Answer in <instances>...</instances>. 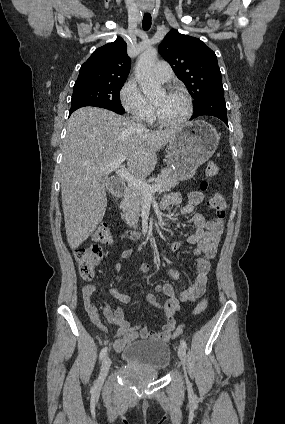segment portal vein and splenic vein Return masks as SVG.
Here are the masks:
<instances>
[{
  "label": "portal vein and splenic vein",
  "mask_w": 285,
  "mask_h": 424,
  "mask_svg": "<svg viewBox=\"0 0 285 424\" xmlns=\"http://www.w3.org/2000/svg\"><path fill=\"white\" fill-rule=\"evenodd\" d=\"M126 157L123 156L118 160H115L105 167L101 168L100 171L111 172L114 171L115 174L121 179L125 180L129 186H132L136 189H139L146 197L151 198L152 194L160 190V185H149L147 182L139 179L129 171L124 168H120V165L125 161Z\"/></svg>",
  "instance_id": "portal-vein-and-splenic-vein-1"
}]
</instances>
